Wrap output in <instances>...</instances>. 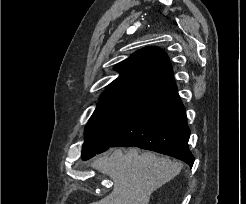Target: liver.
I'll return each mask as SVG.
<instances>
[{
    "label": "liver",
    "mask_w": 246,
    "mask_h": 204,
    "mask_svg": "<svg viewBox=\"0 0 246 204\" xmlns=\"http://www.w3.org/2000/svg\"><path fill=\"white\" fill-rule=\"evenodd\" d=\"M92 167L108 175L114 188L108 196L91 204H149L150 195L177 176L182 164L130 148L125 153L117 149L111 155L99 157Z\"/></svg>",
    "instance_id": "obj_1"
}]
</instances>
